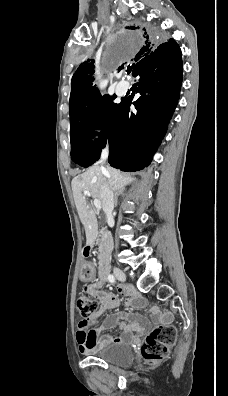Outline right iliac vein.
Returning a JSON list of instances; mask_svg holds the SVG:
<instances>
[{"mask_svg":"<svg viewBox=\"0 0 228 396\" xmlns=\"http://www.w3.org/2000/svg\"><path fill=\"white\" fill-rule=\"evenodd\" d=\"M113 271H114L115 277H116L119 281H122V282L126 281V275H125V273H124L120 268L114 267V268H113Z\"/></svg>","mask_w":228,"mask_h":396,"instance_id":"63e3f726","label":"right iliac vein"}]
</instances>
